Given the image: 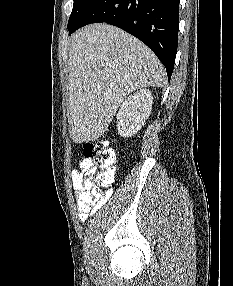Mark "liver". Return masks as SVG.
<instances>
[{"label":"liver","mask_w":233,"mask_h":286,"mask_svg":"<svg viewBox=\"0 0 233 286\" xmlns=\"http://www.w3.org/2000/svg\"><path fill=\"white\" fill-rule=\"evenodd\" d=\"M68 69V123L76 143L104 134L127 95L162 87L166 81L163 65L146 45L105 23L88 25L73 35Z\"/></svg>","instance_id":"liver-1"}]
</instances>
